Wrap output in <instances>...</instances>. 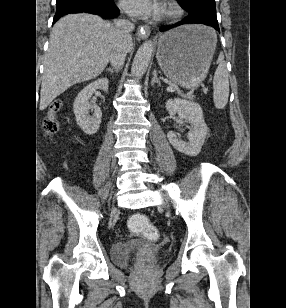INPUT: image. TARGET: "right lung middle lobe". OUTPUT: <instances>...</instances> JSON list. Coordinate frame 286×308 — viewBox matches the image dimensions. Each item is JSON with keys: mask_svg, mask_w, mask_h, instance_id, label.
Instances as JSON below:
<instances>
[{"mask_svg": "<svg viewBox=\"0 0 286 308\" xmlns=\"http://www.w3.org/2000/svg\"><path fill=\"white\" fill-rule=\"evenodd\" d=\"M62 1H65V0H57V3L62 2Z\"/></svg>", "mask_w": 286, "mask_h": 308, "instance_id": "dd1d6c3e", "label": "right lung middle lobe"}]
</instances>
